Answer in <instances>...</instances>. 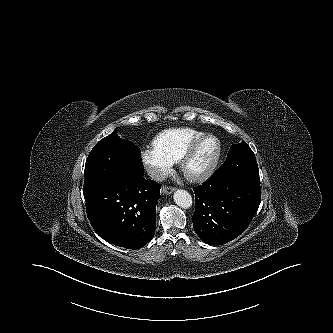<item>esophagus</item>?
Listing matches in <instances>:
<instances>
[{
  "mask_svg": "<svg viewBox=\"0 0 333 333\" xmlns=\"http://www.w3.org/2000/svg\"><path fill=\"white\" fill-rule=\"evenodd\" d=\"M175 187H171V186H163L161 188V193L162 194H166V195H169L171 193H173L175 191Z\"/></svg>",
  "mask_w": 333,
  "mask_h": 333,
  "instance_id": "34e87169",
  "label": "esophagus"
}]
</instances>
